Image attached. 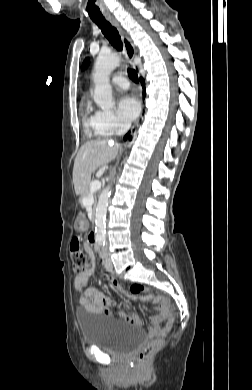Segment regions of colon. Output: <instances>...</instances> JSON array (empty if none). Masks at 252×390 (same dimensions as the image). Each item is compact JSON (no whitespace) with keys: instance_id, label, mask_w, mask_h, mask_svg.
I'll use <instances>...</instances> for the list:
<instances>
[{"instance_id":"obj_1","label":"colon","mask_w":252,"mask_h":390,"mask_svg":"<svg viewBox=\"0 0 252 390\" xmlns=\"http://www.w3.org/2000/svg\"><path fill=\"white\" fill-rule=\"evenodd\" d=\"M70 252L73 270L75 273H82L89 269L92 264V253L89 249L82 245V242L78 238H73L70 243ZM115 289H121L129 295H137L145 290L142 285L133 284L130 287L129 292L124 290L122 286H119L116 282L111 284ZM162 346V341L155 340L153 342L147 343L142 347L138 353V360L140 363H147L153 354Z\"/></svg>"}]
</instances>
